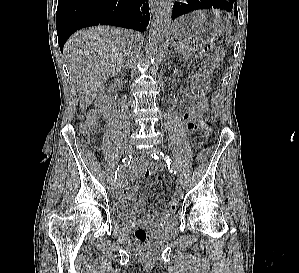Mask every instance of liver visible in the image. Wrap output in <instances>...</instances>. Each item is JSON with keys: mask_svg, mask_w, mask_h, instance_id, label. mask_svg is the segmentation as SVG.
I'll return each mask as SVG.
<instances>
[{"mask_svg": "<svg viewBox=\"0 0 299 273\" xmlns=\"http://www.w3.org/2000/svg\"><path fill=\"white\" fill-rule=\"evenodd\" d=\"M139 38L126 29L98 26L78 31L68 39L64 54L83 110L109 77L121 70L129 46Z\"/></svg>", "mask_w": 299, "mask_h": 273, "instance_id": "1", "label": "liver"}]
</instances>
